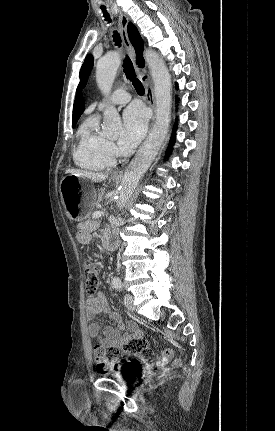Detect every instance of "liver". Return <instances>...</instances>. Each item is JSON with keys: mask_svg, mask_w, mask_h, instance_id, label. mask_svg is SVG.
Segmentation results:
<instances>
[{"mask_svg": "<svg viewBox=\"0 0 275 431\" xmlns=\"http://www.w3.org/2000/svg\"><path fill=\"white\" fill-rule=\"evenodd\" d=\"M65 173L76 175L78 177H85V178L90 179L93 182H101V181L107 179L109 176L108 173H93V172H88V171H83V170H74V169H68V170H66Z\"/></svg>", "mask_w": 275, "mask_h": 431, "instance_id": "liver-1", "label": "liver"}]
</instances>
